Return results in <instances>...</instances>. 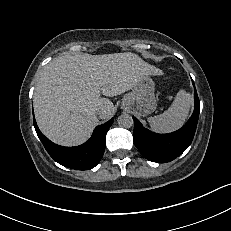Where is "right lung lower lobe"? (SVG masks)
Returning a JSON list of instances; mask_svg holds the SVG:
<instances>
[{"label":"right lung lower lobe","mask_w":231,"mask_h":231,"mask_svg":"<svg viewBox=\"0 0 231 231\" xmlns=\"http://www.w3.org/2000/svg\"><path fill=\"white\" fill-rule=\"evenodd\" d=\"M114 118L95 128L91 138L84 144L76 147H62L47 139L37 127L35 130L49 155L59 164L77 170H88L95 167L101 160L105 150L106 133Z\"/></svg>","instance_id":"1"}]
</instances>
